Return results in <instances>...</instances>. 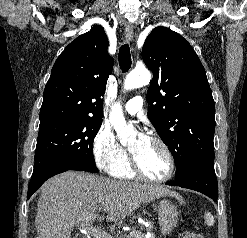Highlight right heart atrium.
<instances>
[{
    "mask_svg": "<svg viewBox=\"0 0 247 238\" xmlns=\"http://www.w3.org/2000/svg\"><path fill=\"white\" fill-rule=\"evenodd\" d=\"M92 151L97 167L108 173L128 160L126 150L119 145L106 124H102L95 133Z\"/></svg>",
    "mask_w": 247,
    "mask_h": 238,
    "instance_id": "right-heart-atrium-1",
    "label": "right heart atrium"
}]
</instances>
